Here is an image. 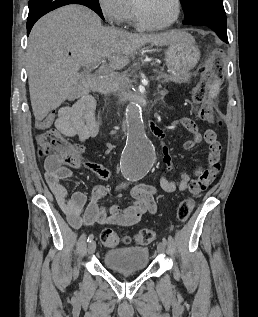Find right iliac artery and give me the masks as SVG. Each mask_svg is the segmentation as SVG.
I'll list each match as a JSON object with an SVG mask.
<instances>
[{
    "label": "right iliac artery",
    "mask_w": 258,
    "mask_h": 317,
    "mask_svg": "<svg viewBox=\"0 0 258 317\" xmlns=\"http://www.w3.org/2000/svg\"><path fill=\"white\" fill-rule=\"evenodd\" d=\"M127 180H128V181H133L134 178H128ZM93 238H94V235H93V234H90V235L88 236V238H87V242H88V243L92 242Z\"/></svg>",
    "instance_id": "right-iliac-artery-1"
}]
</instances>
